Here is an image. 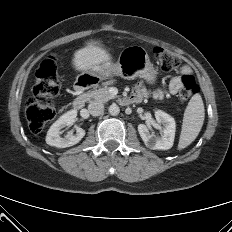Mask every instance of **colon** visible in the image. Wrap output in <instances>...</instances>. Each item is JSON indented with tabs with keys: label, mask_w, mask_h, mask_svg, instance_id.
Segmentation results:
<instances>
[{
	"label": "colon",
	"mask_w": 232,
	"mask_h": 232,
	"mask_svg": "<svg viewBox=\"0 0 232 232\" xmlns=\"http://www.w3.org/2000/svg\"><path fill=\"white\" fill-rule=\"evenodd\" d=\"M157 65L164 72H171L180 66V59L171 52L157 47L154 49ZM60 81L54 62L43 61L35 74L33 95L26 104V119L30 130L39 133L44 126L55 117L52 101L59 95ZM198 90L195 78L186 74L181 77L178 97L181 101L189 100Z\"/></svg>",
	"instance_id": "obj_1"
}]
</instances>
